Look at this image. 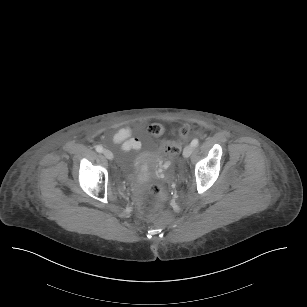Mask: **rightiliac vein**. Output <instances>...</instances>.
<instances>
[{"label":"right iliac vein","instance_id":"right-iliac-vein-1","mask_svg":"<svg viewBox=\"0 0 307 307\" xmlns=\"http://www.w3.org/2000/svg\"><path fill=\"white\" fill-rule=\"evenodd\" d=\"M103 154H104V156H105L107 159H109V160H112V159H113V154H112L111 151H109V150H104V151H103Z\"/></svg>","mask_w":307,"mask_h":307}]
</instances>
